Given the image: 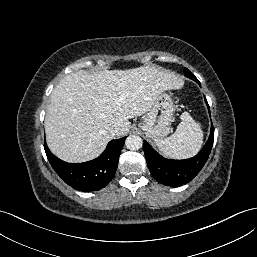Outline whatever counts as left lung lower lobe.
I'll return each instance as SVG.
<instances>
[{
    "label": "left lung lower lobe",
    "mask_w": 257,
    "mask_h": 257,
    "mask_svg": "<svg viewBox=\"0 0 257 257\" xmlns=\"http://www.w3.org/2000/svg\"><path fill=\"white\" fill-rule=\"evenodd\" d=\"M199 85L200 82L195 79ZM209 113L210 108L205 98ZM214 141V128L211 124L210 136L203 149L193 158L172 160L163 158L144 141V154L150 172L163 185L178 187L190 182L203 168L211 152Z\"/></svg>",
    "instance_id": "1"
}]
</instances>
